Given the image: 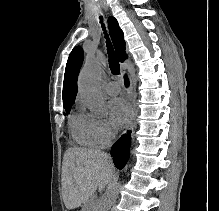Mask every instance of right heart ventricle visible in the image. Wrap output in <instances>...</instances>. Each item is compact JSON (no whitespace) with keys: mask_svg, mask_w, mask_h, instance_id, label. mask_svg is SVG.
I'll return each instance as SVG.
<instances>
[{"mask_svg":"<svg viewBox=\"0 0 219 211\" xmlns=\"http://www.w3.org/2000/svg\"><path fill=\"white\" fill-rule=\"evenodd\" d=\"M92 120V117L83 113H77L72 116V135L82 145L93 146L97 143L93 134Z\"/></svg>","mask_w":219,"mask_h":211,"instance_id":"e07e8e85","label":"right heart ventricle"}]
</instances>
